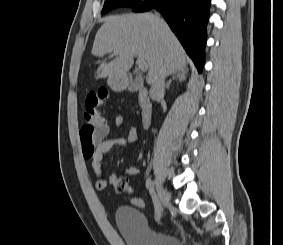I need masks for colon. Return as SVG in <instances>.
Masks as SVG:
<instances>
[{
    "label": "colon",
    "instance_id": "5ec220e1",
    "mask_svg": "<svg viewBox=\"0 0 283 245\" xmlns=\"http://www.w3.org/2000/svg\"><path fill=\"white\" fill-rule=\"evenodd\" d=\"M108 93L99 91L88 95L85 101L83 112L84 126L94 127L102 125L105 120L100 112V108L108 101ZM114 189L118 193H127L131 196V203L137 208H144L145 201L137 196L128 182V178L120 176L114 182Z\"/></svg>",
    "mask_w": 283,
    "mask_h": 245
}]
</instances>
